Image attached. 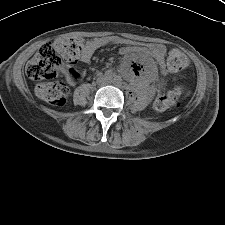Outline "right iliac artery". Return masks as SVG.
Here are the masks:
<instances>
[{"label":"right iliac artery","mask_w":225,"mask_h":225,"mask_svg":"<svg viewBox=\"0 0 225 225\" xmlns=\"http://www.w3.org/2000/svg\"><path fill=\"white\" fill-rule=\"evenodd\" d=\"M104 76H105L106 78H111V77L113 76V73H112L111 71L108 70V71L105 72Z\"/></svg>","instance_id":"obj_1"}]
</instances>
